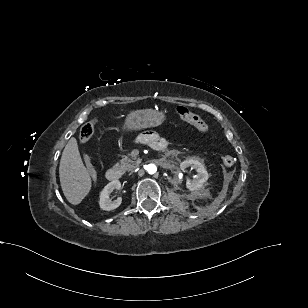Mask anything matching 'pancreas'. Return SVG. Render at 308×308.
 <instances>
[{"label":"pancreas","mask_w":308,"mask_h":308,"mask_svg":"<svg viewBox=\"0 0 308 308\" xmlns=\"http://www.w3.org/2000/svg\"><path fill=\"white\" fill-rule=\"evenodd\" d=\"M139 161H133L129 155L123 156L120 163L116 164V167L120 168L122 171H131L137 167Z\"/></svg>","instance_id":"1"}]
</instances>
